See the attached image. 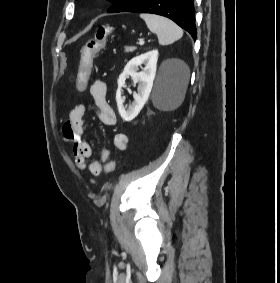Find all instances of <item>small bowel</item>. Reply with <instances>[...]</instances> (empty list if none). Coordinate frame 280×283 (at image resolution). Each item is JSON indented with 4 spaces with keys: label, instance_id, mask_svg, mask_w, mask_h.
<instances>
[{
    "label": "small bowel",
    "instance_id": "c3829d8e",
    "mask_svg": "<svg viewBox=\"0 0 280 283\" xmlns=\"http://www.w3.org/2000/svg\"><path fill=\"white\" fill-rule=\"evenodd\" d=\"M80 90V89H79ZM93 98L96 116L100 123L105 126H113L116 123L115 114L106 98V85L103 81L94 80L89 87ZM86 107L82 104L76 105L68 114L62 126L63 139L72 145L73 159L75 165L82 170L87 169L89 174L97 177L102 173L103 163L110 161L112 154L109 149H102L100 161L94 160L88 163L92 156V147L84 140V114ZM129 138L124 133H118L114 137V145L118 150H125Z\"/></svg>",
    "mask_w": 280,
    "mask_h": 283
}]
</instances>
